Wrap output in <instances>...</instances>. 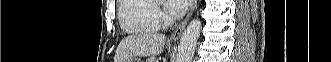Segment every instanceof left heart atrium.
<instances>
[{"instance_id": "39dd6f15", "label": "left heart atrium", "mask_w": 331, "mask_h": 62, "mask_svg": "<svg viewBox=\"0 0 331 62\" xmlns=\"http://www.w3.org/2000/svg\"><path fill=\"white\" fill-rule=\"evenodd\" d=\"M168 7L174 14H181L187 10L191 0H168Z\"/></svg>"}]
</instances>
